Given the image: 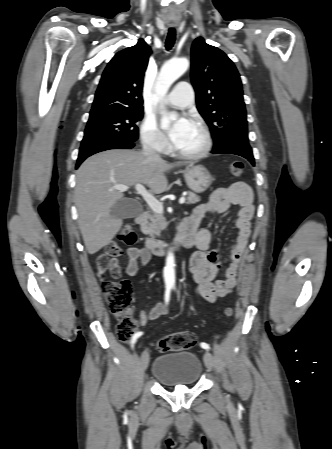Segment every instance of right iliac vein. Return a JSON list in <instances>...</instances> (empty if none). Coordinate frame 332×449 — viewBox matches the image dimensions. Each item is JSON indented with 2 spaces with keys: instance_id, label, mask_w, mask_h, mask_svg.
Wrapping results in <instances>:
<instances>
[{
  "instance_id": "obj_1",
  "label": "right iliac vein",
  "mask_w": 332,
  "mask_h": 449,
  "mask_svg": "<svg viewBox=\"0 0 332 449\" xmlns=\"http://www.w3.org/2000/svg\"><path fill=\"white\" fill-rule=\"evenodd\" d=\"M148 364H149V353L147 350H145L141 354V358H140V365H141L142 371H145L147 369Z\"/></svg>"
}]
</instances>
